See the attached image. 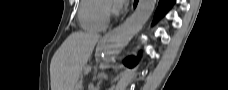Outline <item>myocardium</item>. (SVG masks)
Returning a JSON list of instances; mask_svg holds the SVG:
<instances>
[{"label": "myocardium", "instance_id": "1", "mask_svg": "<svg viewBox=\"0 0 228 90\" xmlns=\"http://www.w3.org/2000/svg\"><path fill=\"white\" fill-rule=\"evenodd\" d=\"M104 15H105V17L108 15V7H107V5H105V7H104Z\"/></svg>", "mask_w": 228, "mask_h": 90}]
</instances>
